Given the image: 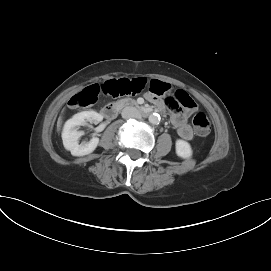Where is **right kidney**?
I'll return each instance as SVG.
<instances>
[{
    "label": "right kidney",
    "mask_w": 271,
    "mask_h": 271,
    "mask_svg": "<svg viewBox=\"0 0 271 271\" xmlns=\"http://www.w3.org/2000/svg\"><path fill=\"white\" fill-rule=\"evenodd\" d=\"M103 117L95 111H83L75 114L69 119L63 128L62 140L66 150L70 151L73 156H84L92 153L98 143L99 138L93 137L89 142L79 144V138L83 135V131H79L77 127L83 126L86 122L102 121Z\"/></svg>",
    "instance_id": "ca27d5eb"
}]
</instances>
